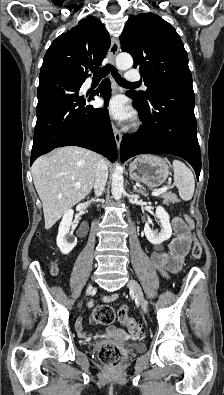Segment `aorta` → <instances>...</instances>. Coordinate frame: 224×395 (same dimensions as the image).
<instances>
[{
  "mask_svg": "<svg viewBox=\"0 0 224 395\" xmlns=\"http://www.w3.org/2000/svg\"><path fill=\"white\" fill-rule=\"evenodd\" d=\"M133 59L128 53H120L116 57V66L119 70L125 71L132 67ZM124 190V179L122 175V167L120 164H115V169L112 174L111 193L115 200H119L122 197Z\"/></svg>",
  "mask_w": 224,
  "mask_h": 395,
  "instance_id": "aorta-1",
  "label": "aorta"
}]
</instances>
